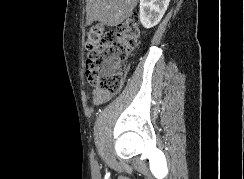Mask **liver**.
<instances>
[{
  "label": "liver",
  "mask_w": 244,
  "mask_h": 179,
  "mask_svg": "<svg viewBox=\"0 0 244 179\" xmlns=\"http://www.w3.org/2000/svg\"><path fill=\"white\" fill-rule=\"evenodd\" d=\"M87 22L118 26L132 14L138 0H86Z\"/></svg>",
  "instance_id": "liver-1"
}]
</instances>
